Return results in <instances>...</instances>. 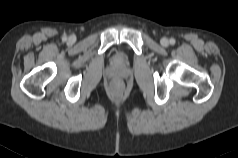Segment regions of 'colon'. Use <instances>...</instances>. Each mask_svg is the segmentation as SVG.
<instances>
[{
	"label": "colon",
	"mask_w": 238,
	"mask_h": 158,
	"mask_svg": "<svg viewBox=\"0 0 238 158\" xmlns=\"http://www.w3.org/2000/svg\"><path fill=\"white\" fill-rule=\"evenodd\" d=\"M111 91L114 95H120L123 91V86L119 81H115L111 86Z\"/></svg>",
	"instance_id": "5ec220e1"
}]
</instances>
